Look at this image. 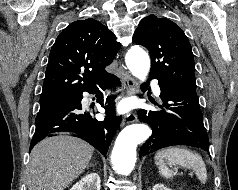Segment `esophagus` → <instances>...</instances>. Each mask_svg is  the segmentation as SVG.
I'll return each mask as SVG.
<instances>
[{
	"mask_svg": "<svg viewBox=\"0 0 238 190\" xmlns=\"http://www.w3.org/2000/svg\"><path fill=\"white\" fill-rule=\"evenodd\" d=\"M122 83L128 94H133L136 92L138 87L137 82L125 70L122 71ZM136 120L137 116L133 113H129L123 118V123H132L135 122Z\"/></svg>",
	"mask_w": 238,
	"mask_h": 190,
	"instance_id": "1",
	"label": "esophagus"
}]
</instances>
